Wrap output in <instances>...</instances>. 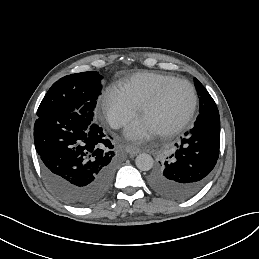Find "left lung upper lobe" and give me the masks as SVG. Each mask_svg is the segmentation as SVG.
Listing matches in <instances>:
<instances>
[{
    "label": "left lung upper lobe",
    "mask_w": 259,
    "mask_h": 259,
    "mask_svg": "<svg viewBox=\"0 0 259 259\" xmlns=\"http://www.w3.org/2000/svg\"><path fill=\"white\" fill-rule=\"evenodd\" d=\"M194 83H195L197 93L199 95V104H200L199 112L202 113L205 111L217 109V106L213 98L210 96V94L204 88V86L199 82V80L194 78Z\"/></svg>",
    "instance_id": "5c2ea615"
}]
</instances>
